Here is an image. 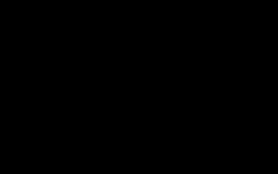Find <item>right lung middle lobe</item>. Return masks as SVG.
Returning <instances> with one entry per match:
<instances>
[{"instance_id": "1", "label": "right lung middle lobe", "mask_w": 278, "mask_h": 174, "mask_svg": "<svg viewBox=\"0 0 278 174\" xmlns=\"http://www.w3.org/2000/svg\"><path fill=\"white\" fill-rule=\"evenodd\" d=\"M121 35L118 26L88 24L76 32L59 49L52 66L55 80L67 74L86 78L116 77L112 56Z\"/></svg>"}]
</instances>
